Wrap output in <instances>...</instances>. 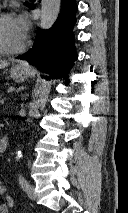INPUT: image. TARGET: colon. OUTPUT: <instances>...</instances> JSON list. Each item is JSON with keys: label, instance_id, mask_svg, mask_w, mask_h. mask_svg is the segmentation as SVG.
<instances>
[{"label": "colon", "instance_id": "obj_1", "mask_svg": "<svg viewBox=\"0 0 128 213\" xmlns=\"http://www.w3.org/2000/svg\"><path fill=\"white\" fill-rule=\"evenodd\" d=\"M0 195L5 198L6 205L8 207H12L14 205V200H13L12 196L10 195L7 188L2 183H0Z\"/></svg>", "mask_w": 128, "mask_h": 213}]
</instances>
